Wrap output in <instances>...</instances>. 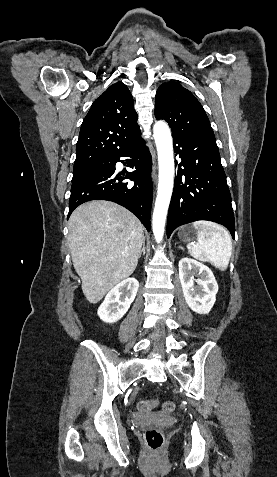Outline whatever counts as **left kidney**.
<instances>
[{
  "label": "left kidney",
  "mask_w": 277,
  "mask_h": 477,
  "mask_svg": "<svg viewBox=\"0 0 277 477\" xmlns=\"http://www.w3.org/2000/svg\"><path fill=\"white\" fill-rule=\"evenodd\" d=\"M194 275H199V279L195 280ZM179 279L185 301L190 309L198 314H208L216 301L218 292V284L213 272L196 260L182 258L179 261Z\"/></svg>",
  "instance_id": "5707ae66"
}]
</instances>
